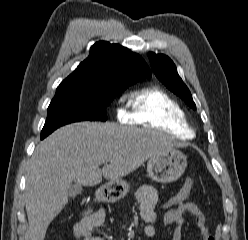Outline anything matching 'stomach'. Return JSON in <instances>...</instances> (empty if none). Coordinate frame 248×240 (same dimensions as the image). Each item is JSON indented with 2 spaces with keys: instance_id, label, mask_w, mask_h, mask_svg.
Wrapping results in <instances>:
<instances>
[{
  "instance_id": "1",
  "label": "stomach",
  "mask_w": 248,
  "mask_h": 240,
  "mask_svg": "<svg viewBox=\"0 0 248 240\" xmlns=\"http://www.w3.org/2000/svg\"><path fill=\"white\" fill-rule=\"evenodd\" d=\"M186 166V156L172 149L151 157L147 163V172L158 183H171L184 173ZM129 189V183L124 180L109 181L98 192V198L105 202H116L126 196Z\"/></svg>"
}]
</instances>
